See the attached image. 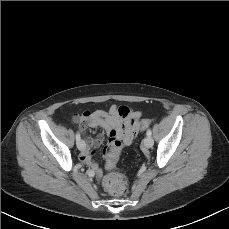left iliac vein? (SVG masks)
Here are the masks:
<instances>
[{
    "mask_svg": "<svg viewBox=\"0 0 229 229\" xmlns=\"http://www.w3.org/2000/svg\"><path fill=\"white\" fill-rule=\"evenodd\" d=\"M143 144H144L145 147L151 148L153 146V144H154V141H153L151 136H146L143 139Z\"/></svg>",
    "mask_w": 229,
    "mask_h": 229,
    "instance_id": "obj_1",
    "label": "left iliac vein"
}]
</instances>
